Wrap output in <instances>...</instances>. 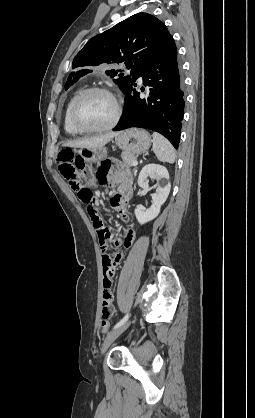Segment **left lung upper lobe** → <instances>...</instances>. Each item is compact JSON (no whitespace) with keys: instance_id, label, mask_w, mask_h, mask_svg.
Returning a JSON list of instances; mask_svg holds the SVG:
<instances>
[{"instance_id":"1","label":"left lung upper lobe","mask_w":255,"mask_h":418,"mask_svg":"<svg viewBox=\"0 0 255 418\" xmlns=\"http://www.w3.org/2000/svg\"><path fill=\"white\" fill-rule=\"evenodd\" d=\"M171 39L163 22L150 14L137 13L86 43L73 60L72 68L78 70L69 75L65 89L92 72L87 67L122 63L130 69L128 75L116 69L108 70L106 74L116 77L114 82L125 93L135 71L150 56L164 49Z\"/></svg>"}]
</instances>
